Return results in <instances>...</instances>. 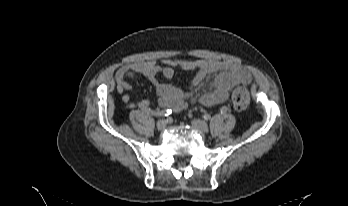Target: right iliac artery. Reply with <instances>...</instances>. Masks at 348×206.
<instances>
[{
	"label": "right iliac artery",
	"mask_w": 348,
	"mask_h": 206,
	"mask_svg": "<svg viewBox=\"0 0 348 206\" xmlns=\"http://www.w3.org/2000/svg\"><path fill=\"white\" fill-rule=\"evenodd\" d=\"M134 105H137L138 108L143 109V111L148 115H154L156 117H166L171 114V109H164L162 111L156 112L155 109H150L148 106H146L145 103H139V101L134 102Z\"/></svg>",
	"instance_id": "82829eb1"
}]
</instances>
